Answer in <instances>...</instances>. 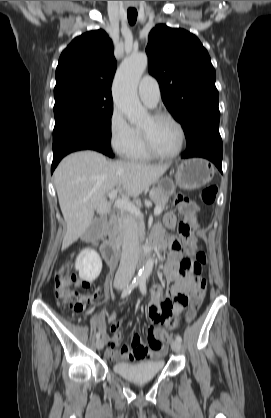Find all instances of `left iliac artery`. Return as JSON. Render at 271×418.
Returning <instances> with one entry per match:
<instances>
[{
    "mask_svg": "<svg viewBox=\"0 0 271 418\" xmlns=\"http://www.w3.org/2000/svg\"><path fill=\"white\" fill-rule=\"evenodd\" d=\"M139 288H140V291H141V293L143 294V295H146V293H147V289H146V281L145 280H141L140 282H139ZM176 340L178 341V342H182V338H181V336L180 335H177L176 336Z\"/></svg>",
    "mask_w": 271,
    "mask_h": 418,
    "instance_id": "obj_1",
    "label": "left iliac artery"
}]
</instances>
